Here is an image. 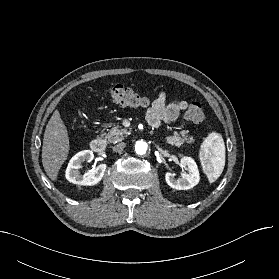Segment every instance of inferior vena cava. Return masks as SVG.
<instances>
[{
  "label": "inferior vena cava",
  "mask_w": 279,
  "mask_h": 279,
  "mask_svg": "<svg viewBox=\"0 0 279 279\" xmlns=\"http://www.w3.org/2000/svg\"><path fill=\"white\" fill-rule=\"evenodd\" d=\"M125 146H126L125 143H123V142L119 143L113 147V151L116 153H121L123 151V149L125 148Z\"/></svg>",
  "instance_id": "obj_1"
}]
</instances>
